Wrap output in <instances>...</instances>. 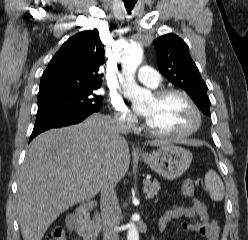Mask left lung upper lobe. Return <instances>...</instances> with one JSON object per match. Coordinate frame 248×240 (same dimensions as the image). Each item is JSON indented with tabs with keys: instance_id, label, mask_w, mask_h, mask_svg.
Returning a JSON list of instances; mask_svg holds the SVG:
<instances>
[{
	"instance_id": "obj_1",
	"label": "left lung upper lobe",
	"mask_w": 248,
	"mask_h": 240,
	"mask_svg": "<svg viewBox=\"0 0 248 240\" xmlns=\"http://www.w3.org/2000/svg\"><path fill=\"white\" fill-rule=\"evenodd\" d=\"M154 45L161 74L185 90L198 108L210 115L211 103L207 96V85L190 56L187 44L170 33L157 38Z\"/></svg>"
}]
</instances>
